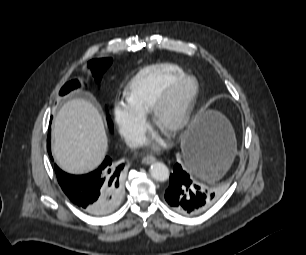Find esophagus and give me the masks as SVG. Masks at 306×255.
Masks as SVG:
<instances>
[{
	"instance_id": "1",
	"label": "esophagus",
	"mask_w": 306,
	"mask_h": 255,
	"mask_svg": "<svg viewBox=\"0 0 306 255\" xmlns=\"http://www.w3.org/2000/svg\"><path fill=\"white\" fill-rule=\"evenodd\" d=\"M155 161H156V158L153 157V156H145V157H143V159H142V163H143V164H146V165L151 164V163H153V162H155Z\"/></svg>"
}]
</instances>
